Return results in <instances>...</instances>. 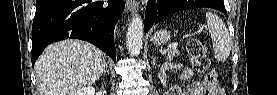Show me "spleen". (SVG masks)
<instances>
[{"label": "spleen", "instance_id": "spleen-1", "mask_svg": "<svg viewBox=\"0 0 277 95\" xmlns=\"http://www.w3.org/2000/svg\"><path fill=\"white\" fill-rule=\"evenodd\" d=\"M207 27L213 42L215 59L224 62L231 51V38L224 22L214 13L207 12Z\"/></svg>", "mask_w": 277, "mask_h": 95}]
</instances>
